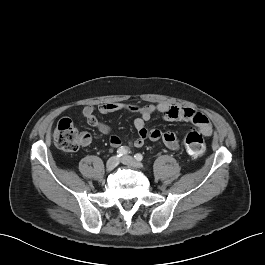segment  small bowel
Listing matches in <instances>:
<instances>
[{"label": "small bowel", "instance_id": "obj_1", "mask_svg": "<svg viewBox=\"0 0 265 265\" xmlns=\"http://www.w3.org/2000/svg\"><path fill=\"white\" fill-rule=\"evenodd\" d=\"M120 110H126L130 113H138L140 115L134 120V127L137 130L138 136L129 143L134 147H141L147 140H161L169 149L174 151L179 149V141L174 132L169 130L163 131L158 128H146V122L149 121L156 112L161 113L166 120L192 122L205 135H210L212 133V125L208 117L190 107H178L166 103L147 104L144 106L123 103H104L98 106V111L101 114H109ZM94 112L95 109L93 106H85L83 108L82 115L87 124L96 128L102 134L109 135L111 132L110 127L99 121ZM80 135L82 145L87 146L91 143V136L89 133L82 132ZM109 142L114 148H118L123 144V140L116 135H111Z\"/></svg>", "mask_w": 265, "mask_h": 265}]
</instances>
